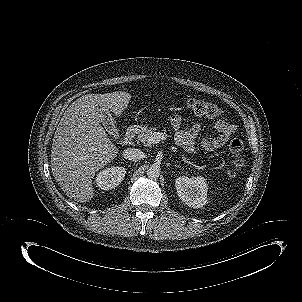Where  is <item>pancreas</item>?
Here are the masks:
<instances>
[{
	"mask_svg": "<svg viewBox=\"0 0 302 302\" xmlns=\"http://www.w3.org/2000/svg\"><path fill=\"white\" fill-rule=\"evenodd\" d=\"M156 128L155 127H150L144 130H141L137 136L138 142H142L145 145H150L149 139L150 137L156 133Z\"/></svg>",
	"mask_w": 302,
	"mask_h": 302,
	"instance_id": "1",
	"label": "pancreas"
}]
</instances>
